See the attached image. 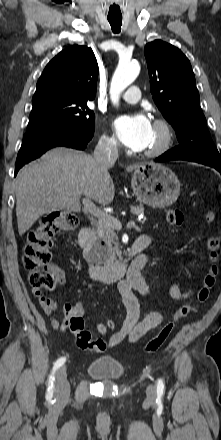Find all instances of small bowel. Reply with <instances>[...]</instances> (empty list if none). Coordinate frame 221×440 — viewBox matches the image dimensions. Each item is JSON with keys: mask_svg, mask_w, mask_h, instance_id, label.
<instances>
[{"mask_svg": "<svg viewBox=\"0 0 221 440\" xmlns=\"http://www.w3.org/2000/svg\"><path fill=\"white\" fill-rule=\"evenodd\" d=\"M139 239L146 241L147 245L150 243V238L146 235L141 236ZM142 258L147 259L145 255H142L136 261ZM59 276L64 283L65 281L62 273H59ZM117 287L126 308V316L121 328L108 336V344L110 348L117 346L124 340H128L130 343L138 341L147 332L160 326L163 321V313L161 311L149 312L141 318L140 303L137 294L143 297H149L150 289L141 272H137L135 267L130 269L126 278L118 282ZM32 294L43 309L44 313L51 317L50 323L52 328L65 333L69 328V320L75 305L64 303L61 307L63 312L62 318L58 320L53 317V314L58 309V304L36 289H32ZM190 294L191 291L181 290L177 282L172 283L170 287V295L175 300L187 299ZM97 329L98 332L104 336L107 335L108 330H112L105 327L104 323L98 324Z\"/></svg>", "mask_w": 221, "mask_h": 440, "instance_id": "1", "label": "small bowel"}]
</instances>
